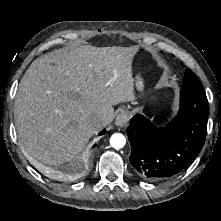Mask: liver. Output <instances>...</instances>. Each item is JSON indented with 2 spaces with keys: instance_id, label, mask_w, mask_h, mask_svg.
Instances as JSON below:
<instances>
[{
  "instance_id": "obj_1",
  "label": "liver",
  "mask_w": 221,
  "mask_h": 221,
  "mask_svg": "<svg viewBox=\"0 0 221 221\" xmlns=\"http://www.w3.org/2000/svg\"><path fill=\"white\" fill-rule=\"evenodd\" d=\"M132 47L84 45L56 50L35 60L20 81L14 116L27 157L55 165L71 160L98 130L114 119L113 105L134 101Z\"/></svg>"
}]
</instances>
